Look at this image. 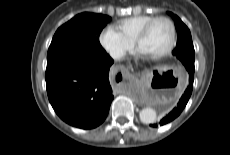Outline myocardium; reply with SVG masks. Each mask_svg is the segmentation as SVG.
I'll use <instances>...</instances> for the list:
<instances>
[{
  "label": "myocardium",
  "instance_id": "myocardium-1",
  "mask_svg": "<svg viewBox=\"0 0 230 155\" xmlns=\"http://www.w3.org/2000/svg\"><path fill=\"white\" fill-rule=\"evenodd\" d=\"M160 20H164L166 22H168V24L171 27V41L169 46L162 52L157 53V54H151L148 55L149 57L153 58V59H161L164 58L168 55H170L172 53V51L174 50L176 43H177V29H176V25L174 23V21L172 19H170L169 17L166 16H157L154 17L153 19H151L149 22H147L142 29L139 31L138 35L135 38V45L136 47L139 48V45L141 43V41L146 37V35L148 34L150 28L152 27V25Z\"/></svg>",
  "mask_w": 230,
  "mask_h": 155
}]
</instances>
